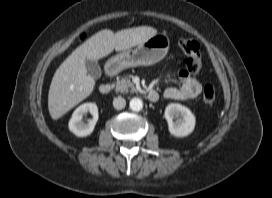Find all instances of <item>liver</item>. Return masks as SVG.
<instances>
[{
  "instance_id": "1",
  "label": "liver",
  "mask_w": 272,
  "mask_h": 198,
  "mask_svg": "<svg viewBox=\"0 0 272 198\" xmlns=\"http://www.w3.org/2000/svg\"><path fill=\"white\" fill-rule=\"evenodd\" d=\"M157 34L149 26L124 29L116 32L101 30L77 47L56 70L49 88L48 109L57 120L86 99L95 86L85 66L87 59L97 61L113 52L125 51Z\"/></svg>"
}]
</instances>
